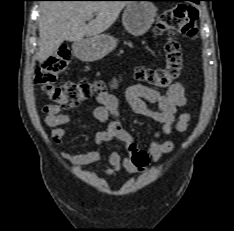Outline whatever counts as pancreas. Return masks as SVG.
Returning a JSON list of instances; mask_svg holds the SVG:
<instances>
[{
	"mask_svg": "<svg viewBox=\"0 0 234 231\" xmlns=\"http://www.w3.org/2000/svg\"><path fill=\"white\" fill-rule=\"evenodd\" d=\"M125 44H127V45H129V46H132V44H131V43H125Z\"/></svg>",
	"mask_w": 234,
	"mask_h": 231,
	"instance_id": "pancreas-1",
	"label": "pancreas"
}]
</instances>
